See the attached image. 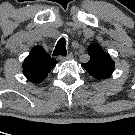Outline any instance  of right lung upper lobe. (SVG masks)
Returning <instances> with one entry per match:
<instances>
[{"instance_id": "right-lung-upper-lobe-1", "label": "right lung upper lobe", "mask_w": 135, "mask_h": 135, "mask_svg": "<svg viewBox=\"0 0 135 135\" xmlns=\"http://www.w3.org/2000/svg\"><path fill=\"white\" fill-rule=\"evenodd\" d=\"M57 61L41 46H35L23 63V74L25 77L36 84L41 83L47 74L56 65Z\"/></svg>"}]
</instances>
